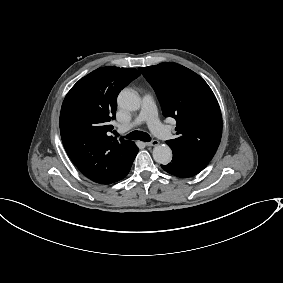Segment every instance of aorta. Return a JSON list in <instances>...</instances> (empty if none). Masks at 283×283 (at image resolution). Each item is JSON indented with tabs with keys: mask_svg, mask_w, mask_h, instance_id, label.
<instances>
[{
	"mask_svg": "<svg viewBox=\"0 0 283 283\" xmlns=\"http://www.w3.org/2000/svg\"><path fill=\"white\" fill-rule=\"evenodd\" d=\"M140 98L134 92L124 90L118 95V105L128 111H136L140 108ZM153 158L157 163L169 164L172 160V150L166 145H157L153 149Z\"/></svg>",
	"mask_w": 283,
	"mask_h": 283,
	"instance_id": "1",
	"label": "aorta"
}]
</instances>
